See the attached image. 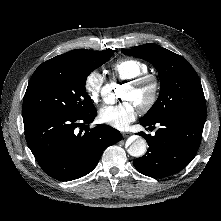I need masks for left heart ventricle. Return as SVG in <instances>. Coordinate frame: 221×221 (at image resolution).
<instances>
[{
	"instance_id": "1",
	"label": "left heart ventricle",
	"mask_w": 221,
	"mask_h": 221,
	"mask_svg": "<svg viewBox=\"0 0 221 221\" xmlns=\"http://www.w3.org/2000/svg\"><path fill=\"white\" fill-rule=\"evenodd\" d=\"M148 94H149L148 87H143L138 89L131 85L126 84L123 87L121 97L123 99L134 102L136 105H139L142 101H144L148 97Z\"/></svg>"
}]
</instances>
